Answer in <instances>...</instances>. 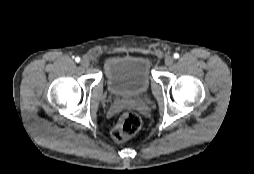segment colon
Returning a JSON list of instances; mask_svg holds the SVG:
<instances>
[{
	"instance_id": "5ec220e1",
	"label": "colon",
	"mask_w": 254,
	"mask_h": 174,
	"mask_svg": "<svg viewBox=\"0 0 254 174\" xmlns=\"http://www.w3.org/2000/svg\"><path fill=\"white\" fill-rule=\"evenodd\" d=\"M142 126L141 118L132 111L123 113L118 124L112 131V136L117 142H124L136 135Z\"/></svg>"
}]
</instances>
